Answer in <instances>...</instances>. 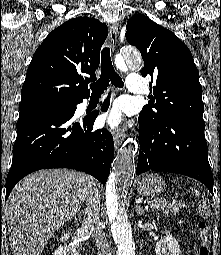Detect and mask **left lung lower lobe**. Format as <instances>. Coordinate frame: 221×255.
Wrapping results in <instances>:
<instances>
[{
  "instance_id": "left-lung-lower-lobe-1",
  "label": "left lung lower lobe",
  "mask_w": 221,
  "mask_h": 255,
  "mask_svg": "<svg viewBox=\"0 0 221 255\" xmlns=\"http://www.w3.org/2000/svg\"><path fill=\"white\" fill-rule=\"evenodd\" d=\"M139 125L138 175L149 170L183 174L213 193L204 123L181 115L154 123L139 115Z\"/></svg>"
}]
</instances>
